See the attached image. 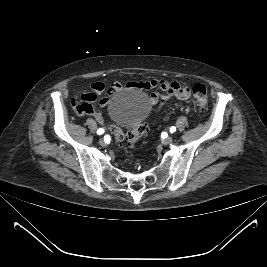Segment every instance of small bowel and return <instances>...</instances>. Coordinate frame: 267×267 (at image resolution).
I'll return each instance as SVG.
<instances>
[{"instance_id":"obj_1","label":"small bowel","mask_w":267,"mask_h":267,"mask_svg":"<svg viewBox=\"0 0 267 267\" xmlns=\"http://www.w3.org/2000/svg\"><path fill=\"white\" fill-rule=\"evenodd\" d=\"M121 88H123V86L118 82H113L110 85H105L102 82H95L91 85L90 92L81 95L82 103H77L73 100V105L79 115H92L98 122H101L103 120L102 114L95 110L92 103L95 102L102 93H106L110 96ZM125 88L141 90L158 88L165 91L167 95H162L158 92L151 93L148 100V106L150 109L155 111L159 110L169 97L174 96L182 101H188L190 99L189 87L175 81H167L164 79H152L144 82H129L125 85ZM108 103V98L100 100V104L103 106Z\"/></svg>"}]
</instances>
